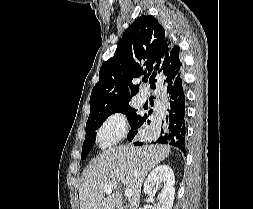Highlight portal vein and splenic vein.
Here are the masks:
<instances>
[{"label": "portal vein and splenic vein", "mask_w": 253, "mask_h": 209, "mask_svg": "<svg viewBox=\"0 0 253 209\" xmlns=\"http://www.w3.org/2000/svg\"><path fill=\"white\" fill-rule=\"evenodd\" d=\"M113 188H114V185L113 184H107V185H105L104 186V192L105 193H111L112 192V190H113ZM132 190L131 189H126L125 190V196L127 197V198H131L132 197Z\"/></svg>", "instance_id": "portal-vein-and-splenic-vein-1"}]
</instances>
